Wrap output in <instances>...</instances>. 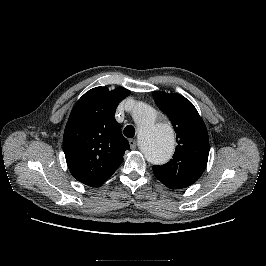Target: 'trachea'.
<instances>
[{
    "label": "trachea",
    "instance_id": "obj_1",
    "mask_svg": "<svg viewBox=\"0 0 266 266\" xmlns=\"http://www.w3.org/2000/svg\"><path fill=\"white\" fill-rule=\"evenodd\" d=\"M123 133L127 138H133L135 135V128L132 125H128L125 127Z\"/></svg>",
    "mask_w": 266,
    "mask_h": 266
}]
</instances>
